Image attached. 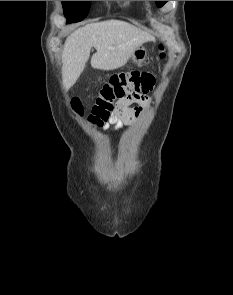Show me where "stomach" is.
<instances>
[{
    "label": "stomach",
    "instance_id": "stomach-1",
    "mask_svg": "<svg viewBox=\"0 0 233 295\" xmlns=\"http://www.w3.org/2000/svg\"><path fill=\"white\" fill-rule=\"evenodd\" d=\"M147 53L146 46L141 44L131 52L130 59L136 64H142L147 58Z\"/></svg>",
    "mask_w": 233,
    "mask_h": 295
}]
</instances>
